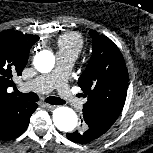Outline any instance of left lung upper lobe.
<instances>
[{
  "label": "left lung upper lobe",
  "instance_id": "1",
  "mask_svg": "<svg viewBox=\"0 0 153 153\" xmlns=\"http://www.w3.org/2000/svg\"><path fill=\"white\" fill-rule=\"evenodd\" d=\"M92 56L78 80L87 97L83 119L89 132L103 135L120 115L128 89V71L118 47L106 36L90 31Z\"/></svg>",
  "mask_w": 153,
  "mask_h": 153
}]
</instances>
